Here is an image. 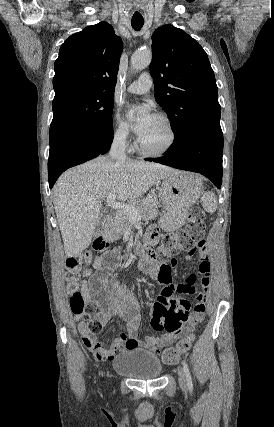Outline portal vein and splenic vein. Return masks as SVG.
<instances>
[{"label":"portal vein and splenic vein","instance_id":"obj_1","mask_svg":"<svg viewBox=\"0 0 274 427\" xmlns=\"http://www.w3.org/2000/svg\"><path fill=\"white\" fill-rule=\"evenodd\" d=\"M106 202L108 206L113 208V210L124 212L127 217H130V219H141V215L139 214L138 210H135L134 206H131V204H120V202H116L114 196L107 198Z\"/></svg>","mask_w":274,"mask_h":427}]
</instances>
